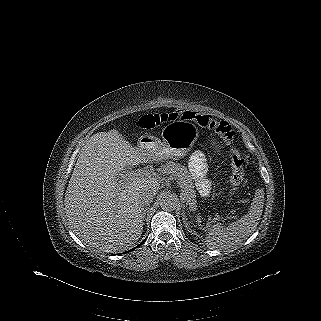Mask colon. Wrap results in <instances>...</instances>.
I'll list each match as a JSON object with an SVG mask.
<instances>
[{"mask_svg":"<svg viewBox=\"0 0 321 321\" xmlns=\"http://www.w3.org/2000/svg\"><path fill=\"white\" fill-rule=\"evenodd\" d=\"M192 120L195 121L199 126L207 129H211L218 133L224 140V142L231 146L235 139V131L232 126L226 122L213 118L209 115L199 114L193 111L177 110L173 112L151 114L141 118L140 126L142 128H155L160 124L172 120ZM230 157L233 166V173L231 176V189L235 190L240 186L244 178V163L245 160L241 156L238 149L232 147L230 151Z\"/></svg>","mask_w":321,"mask_h":321,"instance_id":"colon-1","label":"colon"}]
</instances>
